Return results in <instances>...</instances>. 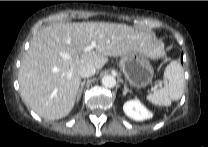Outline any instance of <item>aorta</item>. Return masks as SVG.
Wrapping results in <instances>:
<instances>
[{"instance_id":"1","label":"aorta","mask_w":208,"mask_h":147,"mask_svg":"<svg viewBox=\"0 0 208 147\" xmlns=\"http://www.w3.org/2000/svg\"><path fill=\"white\" fill-rule=\"evenodd\" d=\"M102 85L107 88H113L116 85V79L111 75H106L102 78Z\"/></svg>"}]
</instances>
